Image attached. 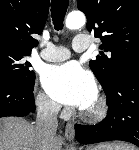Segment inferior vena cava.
<instances>
[{"label": "inferior vena cava", "mask_w": 139, "mask_h": 150, "mask_svg": "<svg viewBox=\"0 0 139 150\" xmlns=\"http://www.w3.org/2000/svg\"><path fill=\"white\" fill-rule=\"evenodd\" d=\"M59 110L60 105L47 98H41L38 102L35 131L40 150H54Z\"/></svg>", "instance_id": "1"}]
</instances>
